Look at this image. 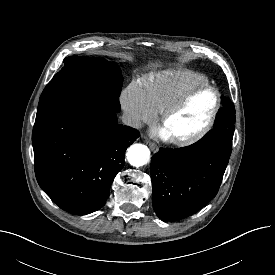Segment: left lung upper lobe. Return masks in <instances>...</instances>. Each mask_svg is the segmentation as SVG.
Listing matches in <instances>:
<instances>
[{"label":"left lung upper lobe","instance_id":"obj_1","mask_svg":"<svg viewBox=\"0 0 275 275\" xmlns=\"http://www.w3.org/2000/svg\"><path fill=\"white\" fill-rule=\"evenodd\" d=\"M223 108L226 109V115L221 121H216L214 124V128H228L234 130L235 124V108L234 104L230 101L229 98H222Z\"/></svg>","mask_w":275,"mask_h":275}]
</instances>
